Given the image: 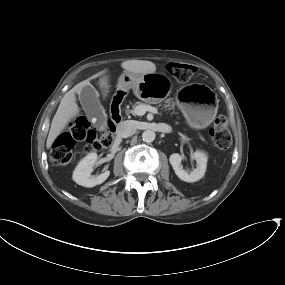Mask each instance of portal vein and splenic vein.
Listing matches in <instances>:
<instances>
[{"label": "portal vein and splenic vein", "mask_w": 285, "mask_h": 285, "mask_svg": "<svg viewBox=\"0 0 285 285\" xmlns=\"http://www.w3.org/2000/svg\"><path fill=\"white\" fill-rule=\"evenodd\" d=\"M147 111L153 114L158 113L155 107L145 105V104L138 105L134 109V112L137 116H143Z\"/></svg>", "instance_id": "portal-vein-and-splenic-vein-1"}]
</instances>
